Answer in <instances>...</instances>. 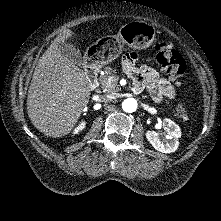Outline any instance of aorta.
<instances>
[{"instance_id": "1", "label": "aorta", "mask_w": 221, "mask_h": 221, "mask_svg": "<svg viewBox=\"0 0 221 221\" xmlns=\"http://www.w3.org/2000/svg\"><path fill=\"white\" fill-rule=\"evenodd\" d=\"M138 104L134 98H127L122 102V109L127 113H133L137 110Z\"/></svg>"}]
</instances>
